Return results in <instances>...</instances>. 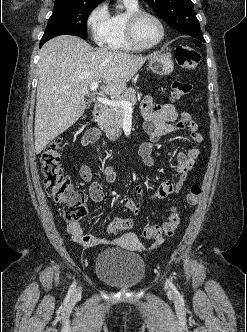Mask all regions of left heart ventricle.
<instances>
[{"mask_svg": "<svg viewBox=\"0 0 247 332\" xmlns=\"http://www.w3.org/2000/svg\"><path fill=\"white\" fill-rule=\"evenodd\" d=\"M135 33L139 43L150 45L161 37V28L154 18L144 16L138 21Z\"/></svg>", "mask_w": 247, "mask_h": 332, "instance_id": "b2bd125f", "label": "left heart ventricle"}]
</instances>
